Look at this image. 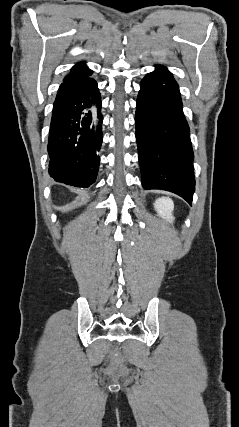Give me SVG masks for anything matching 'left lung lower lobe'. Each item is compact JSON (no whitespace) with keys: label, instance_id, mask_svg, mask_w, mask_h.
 I'll list each match as a JSON object with an SVG mask.
<instances>
[{"label":"left lung lower lobe","instance_id":"obj_1","mask_svg":"<svg viewBox=\"0 0 239 427\" xmlns=\"http://www.w3.org/2000/svg\"><path fill=\"white\" fill-rule=\"evenodd\" d=\"M135 124L142 187L171 191L191 205L195 179L190 130L178 84L163 66L157 65L140 83Z\"/></svg>","mask_w":239,"mask_h":427}]
</instances>
